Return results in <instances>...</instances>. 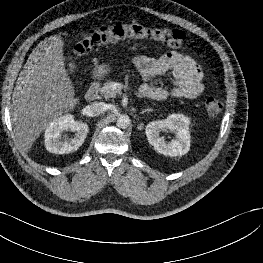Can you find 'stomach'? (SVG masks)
<instances>
[{"label":"stomach","mask_w":263,"mask_h":263,"mask_svg":"<svg viewBox=\"0 0 263 263\" xmlns=\"http://www.w3.org/2000/svg\"><path fill=\"white\" fill-rule=\"evenodd\" d=\"M110 72H111L110 65L107 63H103V64L97 66V68L94 71V76H95V78L100 79V78L107 76Z\"/></svg>","instance_id":"stomach-1"}]
</instances>
